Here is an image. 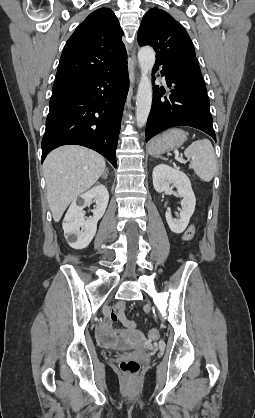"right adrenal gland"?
<instances>
[{
	"label": "right adrenal gland",
	"instance_id": "right-adrenal-gland-1",
	"mask_svg": "<svg viewBox=\"0 0 255 418\" xmlns=\"http://www.w3.org/2000/svg\"><path fill=\"white\" fill-rule=\"evenodd\" d=\"M108 169L106 168V170L104 171V173H103V175H102V178H107V176H108Z\"/></svg>",
	"mask_w": 255,
	"mask_h": 418
}]
</instances>
